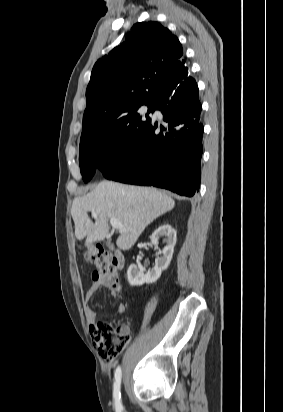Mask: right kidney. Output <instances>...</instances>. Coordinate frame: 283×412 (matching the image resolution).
Masks as SVG:
<instances>
[{"instance_id": "right-kidney-1", "label": "right kidney", "mask_w": 283, "mask_h": 412, "mask_svg": "<svg viewBox=\"0 0 283 412\" xmlns=\"http://www.w3.org/2000/svg\"><path fill=\"white\" fill-rule=\"evenodd\" d=\"M163 238V242L166 246L159 252L160 256L155 259V266L152 270H149L146 274L136 265L131 264L127 270L128 282L131 286H140L144 283L151 284L156 282L162 271L169 266L176 243V231L168 224L160 226L154 231L151 236V243L155 249L158 248L159 239Z\"/></svg>"}]
</instances>
